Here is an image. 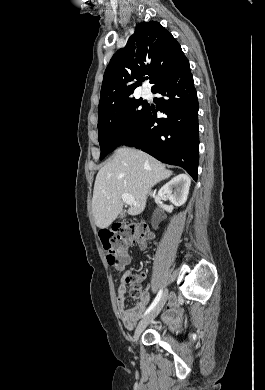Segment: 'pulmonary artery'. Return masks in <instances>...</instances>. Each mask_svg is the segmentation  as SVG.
I'll use <instances>...</instances> for the list:
<instances>
[{
  "mask_svg": "<svg viewBox=\"0 0 265 390\" xmlns=\"http://www.w3.org/2000/svg\"><path fill=\"white\" fill-rule=\"evenodd\" d=\"M148 92L146 90L143 91V96H147Z\"/></svg>",
  "mask_w": 265,
  "mask_h": 390,
  "instance_id": "e3ab8cb5",
  "label": "pulmonary artery"
}]
</instances>
